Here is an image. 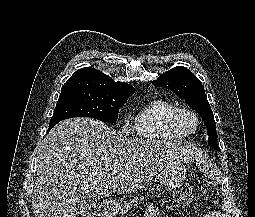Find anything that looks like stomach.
<instances>
[{
    "label": "stomach",
    "instance_id": "obj_1",
    "mask_svg": "<svg viewBox=\"0 0 255 217\" xmlns=\"http://www.w3.org/2000/svg\"><path fill=\"white\" fill-rule=\"evenodd\" d=\"M186 176V170L181 159L167 162L158 174V179L165 189H173L179 185ZM120 204L113 202L112 211L117 212Z\"/></svg>",
    "mask_w": 255,
    "mask_h": 217
}]
</instances>
